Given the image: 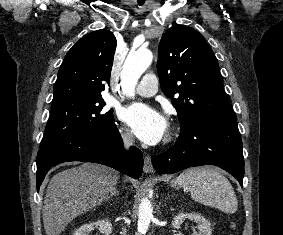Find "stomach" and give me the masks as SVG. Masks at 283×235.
I'll return each mask as SVG.
<instances>
[{
	"label": "stomach",
	"instance_id": "0dacf381",
	"mask_svg": "<svg viewBox=\"0 0 283 235\" xmlns=\"http://www.w3.org/2000/svg\"><path fill=\"white\" fill-rule=\"evenodd\" d=\"M175 184H176V182H175V181H173V182H172V185L174 186Z\"/></svg>",
	"mask_w": 283,
	"mask_h": 235
}]
</instances>
